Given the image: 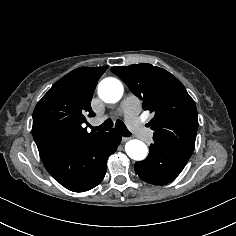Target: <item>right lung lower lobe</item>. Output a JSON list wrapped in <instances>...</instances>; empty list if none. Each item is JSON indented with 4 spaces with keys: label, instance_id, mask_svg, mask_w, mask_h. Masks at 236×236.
<instances>
[{
    "label": "right lung lower lobe",
    "instance_id": "right-lung-lower-lobe-1",
    "mask_svg": "<svg viewBox=\"0 0 236 236\" xmlns=\"http://www.w3.org/2000/svg\"><path fill=\"white\" fill-rule=\"evenodd\" d=\"M121 139V135L113 129L67 145L41 159L47 171L62 186L74 192H83L102 181L107 159L116 151Z\"/></svg>",
    "mask_w": 236,
    "mask_h": 236
}]
</instances>
